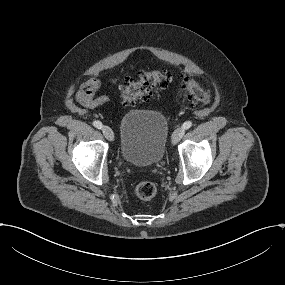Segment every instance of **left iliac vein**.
<instances>
[{
  "instance_id": "left-iliac-vein-1",
  "label": "left iliac vein",
  "mask_w": 285,
  "mask_h": 285,
  "mask_svg": "<svg viewBox=\"0 0 285 285\" xmlns=\"http://www.w3.org/2000/svg\"><path fill=\"white\" fill-rule=\"evenodd\" d=\"M184 134V129L183 128H177L173 134H172V143L176 144L180 141Z\"/></svg>"
}]
</instances>
